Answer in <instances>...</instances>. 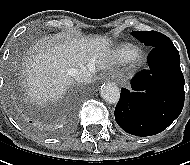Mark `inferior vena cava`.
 <instances>
[{
  "label": "inferior vena cava",
  "instance_id": "obj_1",
  "mask_svg": "<svg viewBox=\"0 0 190 165\" xmlns=\"http://www.w3.org/2000/svg\"><path fill=\"white\" fill-rule=\"evenodd\" d=\"M70 74L78 82L88 83L91 81L92 78L91 71L87 70L86 68L71 69Z\"/></svg>",
  "mask_w": 190,
  "mask_h": 165
}]
</instances>
